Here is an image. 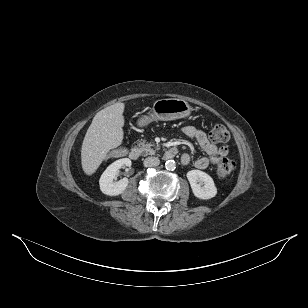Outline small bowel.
<instances>
[{
	"label": "small bowel",
	"mask_w": 308,
	"mask_h": 308,
	"mask_svg": "<svg viewBox=\"0 0 308 308\" xmlns=\"http://www.w3.org/2000/svg\"><path fill=\"white\" fill-rule=\"evenodd\" d=\"M182 132L185 136L193 139L198 146L206 153V156L199 157L195 160L194 165L198 169H206L212 164L219 162L221 158H224L228 154V149L224 146L219 147L212 143L205 132L196 128L193 125H185L182 128ZM181 162L187 165L191 162V156L188 153H184L181 156Z\"/></svg>",
	"instance_id": "c3829d8e"
}]
</instances>
